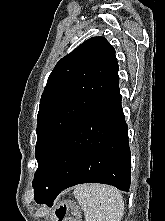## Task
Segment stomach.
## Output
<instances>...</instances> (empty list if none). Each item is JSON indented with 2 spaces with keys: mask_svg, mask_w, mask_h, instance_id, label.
Wrapping results in <instances>:
<instances>
[{
  "mask_svg": "<svg viewBox=\"0 0 165 221\" xmlns=\"http://www.w3.org/2000/svg\"><path fill=\"white\" fill-rule=\"evenodd\" d=\"M58 212H52V217H62L54 218V221H80L78 208L71 202L65 201L58 205Z\"/></svg>",
  "mask_w": 165,
  "mask_h": 221,
  "instance_id": "stomach-1",
  "label": "stomach"
}]
</instances>
